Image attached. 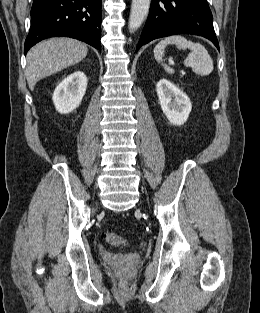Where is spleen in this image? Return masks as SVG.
I'll list each match as a JSON object with an SVG mask.
<instances>
[{
  "instance_id": "1",
  "label": "spleen",
  "mask_w": 260,
  "mask_h": 313,
  "mask_svg": "<svg viewBox=\"0 0 260 313\" xmlns=\"http://www.w3.org/2000/svg\"><path fill=\"white\" fill-rule=\"evenodd\" d=\"M170 44L176 45V47L180 50L190 49L191 52L184 59V65L186 67H191L197 75L205 76L209 75L213 71V61L205 47L200 43L188 41L181 35L166 37L155 46L154 57L159 63L162 62L166 46ZM161 64L166 72L170 74L175 72L174 69L168 65L163 63Z\"/></svg>"
}]
</instances>
